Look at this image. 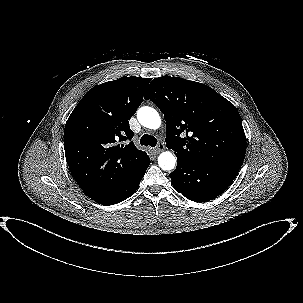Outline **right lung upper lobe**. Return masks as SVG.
<instances>
[{
    "mask_svg": "<svg viewBox=\"0 0 303 303\" xmlns=\"http://www.w3.org/2000/svg\"><path fill=\"white\" fill-rule=\"evenodd\" d=\"M150 81L124 76L97 85L66 122L64 149L69 169L93 200L124 186L149 160L147 153L131 141L129 119L142 103Z\"/></svg>",
    "mask_w": 303,
    "mask_h": 303,
    "instance_id": "right-lung-upper-lobe-1",
    "label": "right lung upper lobe"
}]
</instances>
